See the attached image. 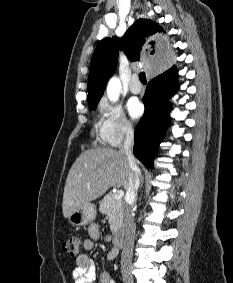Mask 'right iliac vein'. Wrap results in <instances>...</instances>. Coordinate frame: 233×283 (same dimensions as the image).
Instances as JSON below:
<instances>
[{
	"label": "right iliac vein",
	"mask_w": 233,
	"mask_h": 283,
	"mask_svg": "<svg viewBox=\"0 0 233 283\" xmlns=\"http://www.w3.org/2000/svg\"><path fill=\"white\" fill-rule=\"evenodd\" d=\"M124 283H134L132 276L128 273L123 274Z\"/></svg>",
	"instance_id": "1"
}]
</instances>
